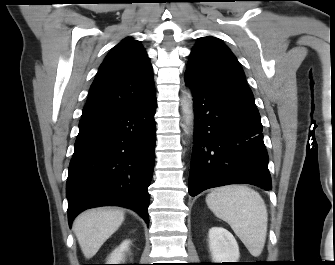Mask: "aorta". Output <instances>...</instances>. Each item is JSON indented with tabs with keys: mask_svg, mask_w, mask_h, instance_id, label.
I'll return each instance as SVG.
<instances>
[{
	"mask_svg": "<svg viewBox=\"0 0 335 265\" xmlns=\"http://www.w3.org/2000/svg\"><path fill=\"white\" fill-rule=\"evenodd\" d=\"M192 103V96L189 93H186L182 99V112L186 126H188V128L193 121Z\"/></svg>",
	"mask_w": 335,
	"mask_h": 265,
	"instance_id": "obj_1",
	"label": "aorta"
}]
</instances>
